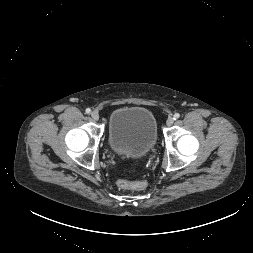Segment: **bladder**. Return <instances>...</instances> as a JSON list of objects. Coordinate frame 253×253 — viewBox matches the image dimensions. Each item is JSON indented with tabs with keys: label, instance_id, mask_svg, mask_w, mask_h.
I'll return each mask as SVG.
<instances>
[{
	"label": "bladder",
	"instance_id": "1",
	"mask_svg": "<svg viewBox=\"0 0 253 253\" xmlns=\"http://www.w3.org/2000/svg\"><path fill=\"white\" fill-rule=\"evenodd\" d=\"M157 122L153 113L143 106H122L109 119V146L124 159L147 157L157 143Z\"/></svg>",
	"mask_w": 253,
	"mask_h": 253
}]
</instances>
